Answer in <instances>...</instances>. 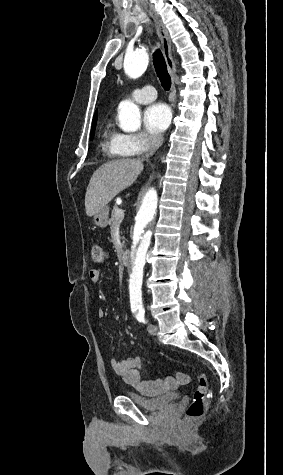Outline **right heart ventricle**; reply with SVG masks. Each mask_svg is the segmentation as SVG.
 I'll return each mask as SVG.
<instances>
[{"label": "right heart ventricle", "instance_id": "right-heart-ventricle-1", "mask_svg": "<svg viewBox=\"0 0 283 475\" xmlns=\"http://www.w3.org/2000/svg\"><path fill=\"white\" fill-rule=\"evenodd\" d=\"M120 133L112 120H106L101 127L102 147L108 158L115 159L120 157L116 151L115 143Z\"/></svg>", "mask_w": 283, "mask_h": 475}]
</instances>
